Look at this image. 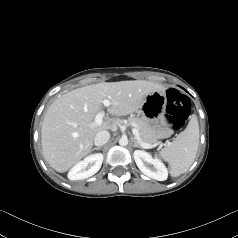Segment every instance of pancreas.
Returning a JSON list of instances; mask_svg holds the SVG:
<instances>
[{
    "label": "pancreas",
    "instance_id": "1",
    "mask_svg": "<svg viewBox=\"0 0 238 238\" xmlns=\"http://www.w3.org/2000/svg\"><path fill=\"white\" fill-rule=\"evenodd\" d=\"M128 122L139 131L141 140L148 144L156 143L159 138L171 134V131L160 132L152 127L146 120L135 116H130Z\"/></svg>",
    "mask_w": 238,
    "mask_h": 238
}]
</instances>
